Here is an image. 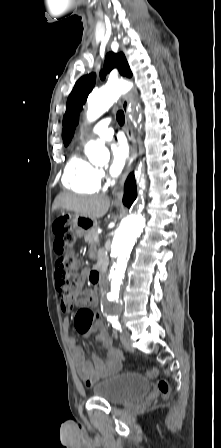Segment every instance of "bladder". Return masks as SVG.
Listing matches in <instances>:
<instances>
[{
    "mask_svg": "<svg viewBox=\"0 0 221 448\" xmlns=\"http://www.w3.org/2000/svg\"><path fill=\"white\" fill-rule=\"evenodd\" d=\"M150 381L138 372L117 371L93 386L94 397L111 405H122L145 397Z\"/></svg>",
    "mask_w": 221,
    "mask_h": 448,
    "instance_id": "1",
    "label": "bladder"
}]
</instances>
